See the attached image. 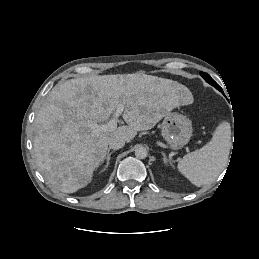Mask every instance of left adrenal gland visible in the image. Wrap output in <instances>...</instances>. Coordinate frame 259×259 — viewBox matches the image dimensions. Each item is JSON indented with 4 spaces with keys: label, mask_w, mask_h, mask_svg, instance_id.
<instances>
[{
    "label": "left adrenal gland",
    "mask_w": 259,
    "mask_h": 259,
    "mask_svg": "<svg viewBox=\"0 0 259 259\" xmlns=\"http://www.w3.org/2000/svg\"><path fill=\"white\" fill-rule=\"evenodd\" d=\"M161 154H162V156H163V161H164V163L170 162V164H172L171 161L167 158V156H166V154H165L164 152H161Z\"/></svg>",
    "instance_id": "obj_1"
}]
</instances>
